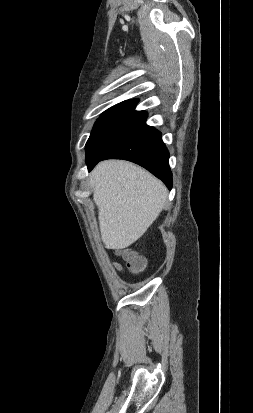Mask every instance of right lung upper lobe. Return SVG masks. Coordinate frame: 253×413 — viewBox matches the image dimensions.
I'll list each match as a JSON object with an SVG mask.
<instances>
[{"label":"right lung upper lobe","mask_w":253,"mask_h":413,"mask_svg":"<svg viewBox=\"0 0 253 413\" xmlns=\"http://www.w3.org/2000/svg\"><path fill=\"white\" fill-rule=\"evenodd\" d=\"M138 100H126L123 101L108 110H106L102 116L104 115H128V116H138V117H147V113L145 111H136L135 106Z\"/></svg>","instance_id":"obj_1"}]
</instances>
